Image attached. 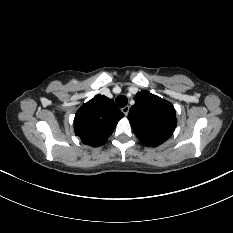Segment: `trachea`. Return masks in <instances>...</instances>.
Segmentation results:
<instances>
[{
	"instance_id": "obj_1",
	"label": "trachea",
	"mask_w": 233,
	"mask_h": 233,
	"mask_svg": "<svg viewBox=\"0 0 233 233\" xmlns=\"http://www.w3.org/2000/svg\"><path fill=\"white\" fill-rule=\"evenodd\" d=\"M115 101H116V104L121 108L125 107L128 103V99L124 95H119Z\"/></svg>"
}]
</instances>
